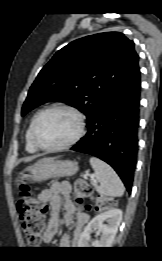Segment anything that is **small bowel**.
Returning a JSON list of instances; mask_svg holds the SVG:
<instances>
[{
    "label": "small bowel",
    "instance_id": "1",
    "mask_svg": "<svg viewBox=\"0 0 162 261\" xmlns=\"http://www.w3.org/2000/svg\"><path fill=\"white\" fill-rule=\"evenodd\" d=\"M70 194L71 185L68 181H54L49 189H45L39 194L38 199L42 203L49 204L51 209V217L42 238L44 243L47 244L51 242L58 231V212L62 205L65 210V222L69 226H75L76 235L80 233L82 226L89 220V215L74 204ZM74 215L76 216L75 219ZM68 245V236H63L60 241V247H66Z\"/></svg>",
    "mask_w": 162,
    "mask_h": 261
}]
</instances>
